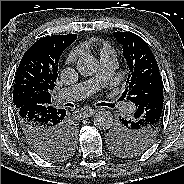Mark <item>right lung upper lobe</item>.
I'll return each mask as SVG.
<instances>
[{
  "label": "right lung upper lobe",
  "instance_id": "obj_1",
  "mask_svg": "<svg viewBox=\"0 0 184 184\" xmlns=\"http://www.w3.org/2000/svg\"><path fill=\"white\" fill-rule=\"evenodd\" d=\"M76 38V34L46 36L25 52L14 80L13 101L17 109L24 105L51 103L49 92L58 77V60Z\"/></svg>",
  "mask_w": 184,
  "mask_h": 184
}]
</instances>
